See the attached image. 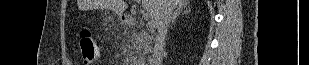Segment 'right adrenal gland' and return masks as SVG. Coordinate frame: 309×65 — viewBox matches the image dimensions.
<instances>
[{"mask_svg":"<svg viewBox=\"0 0 309 65\" xmlns=\"http://www.w3.org/2000/svg\"><path fill=\"white\" fill-rule=\"evenodd\" d=\"M191 11L190 7L186 8H180L178 7L177 9H175V11L172 14V19H171V23H170V28H172V25L175 23L177 17H179L180 15H186Z\"/></svg>","mask_w":309,"mask_h":65,"instance_id":"obj_1","label":"right adrenal gland"}]
</instances>
